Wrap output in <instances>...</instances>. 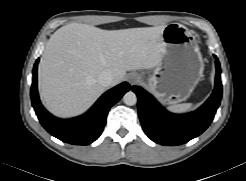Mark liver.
<instances>
[{
    "instance_id": "6515ba94",
    "label": "liver",
    "mask_w": 246,
    "mask_h": 181,
    "mask_svg": "<svg viewBox=\"0 0 246 181\" xmlns=\"http://www.w3.org/2000/svg\"><path fill=\"white\" fill-rule=\"evenodd\" d=\"M164 26L103 30L71 23L48 40L38 70L40 97L50 112L72 117L86 111L102 94L103 70L113 73L112 85L127 71L157 67L165 52Z\"/></svg>"
}]
</instances>
